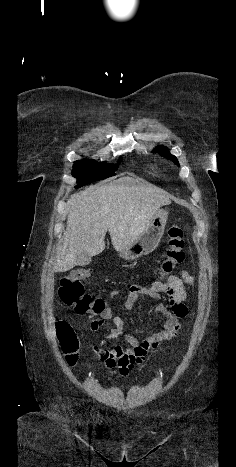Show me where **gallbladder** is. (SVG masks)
<instances>
[{
    "mask_svg": "<svg viewBox=\"0 0 236 467\" xmlns=\"http://www.w3.org/2000/svg\"><path fill=\"white\" fill-rule=\"evenodd\" d=\"M78 261L80 266H86L91 262V257L87 255V253L82 252L78 255Z\"/></svg>",
    "mask_w": 236,
    "mask_h": 467,
    "instance_id": "obj_1",
    "label": "gallbladder"
}]
</instances>
